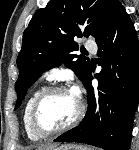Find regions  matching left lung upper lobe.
Returning a JSON list of instances; mask_svg holds the SVG:
<instances>
[{
    "label": "left lung upper lobe",
    "mask_w": 139,
    "mask_h": 150,
    "mask_svg": "<svg viewBox=\"0 0 139 150\" xmlns=\"http://www.w3.org/2000/svg\"><path fill=\"white\" fill-rule=\"evenodd\" d=\"M118 0H50L32 17L23 34L17 58L20 74L15 84L17 109L28 88L42 72L62 63L85 84L90 60L74 54L79 49L74 37L96 38L104 30Z\"/></svg>",
    "instance_id": "obj_1"
}]
</instances>
